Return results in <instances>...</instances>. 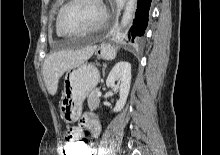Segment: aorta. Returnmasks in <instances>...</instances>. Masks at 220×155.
I'll list each match as a JSON object with an SVG mask.
<instances>
[{
    "instance_id": "aorta-1",
    "label": "aorta",
    "mask_w": 220,
    "mask_h": 155,
    "mask_svg": "<svg viewBox=\"0 0 220 155\" xmlns=\"http://www.w3.org/2000/svg\"><path fill=\"white\" fill-rule=\"evenodd\" d=\"M137 6V0H126L125 10L121 20V28H125L132 21Z\"/></svg>"
}]
</instances>
